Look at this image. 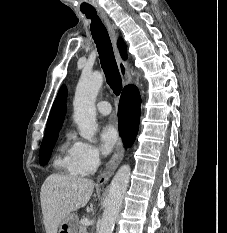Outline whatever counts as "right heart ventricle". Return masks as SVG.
Wrapping results in <instances>:
<instances>
[{"instance_id":"1","label":"right heart ventricle","mask_w":227,"mask_h":233,"mask_svg":"<svg viewBox=\"0 0 227 233\" xmlns=\"http://www.w3.org/2000/svg\"><path fill=\"white\" fill-rule=\"evenodd\" d=\"M55 165L58 169L65 171L71 175H83L78 169L74 159V148L68 143H65L60 148V154L55 160Z\"/></svg>"}]
</instances>
